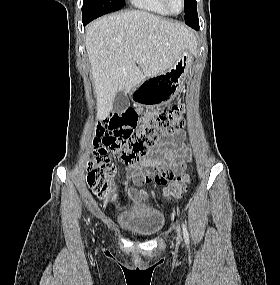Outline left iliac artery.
<instances>
[{"mask_svg": "<svg viewBox=\"0 0 280 285\" xmlns=\"http://www.w3.org/2000/svg\"><path fill=\"white\" fill-rule=\"evenodd\" d=\"M182 228H183V236H184L185 243L189 245V234H188L187 228L184 223L182 224Z\"/></svg>", "mask_w": 280, "mask_h": 285, "instance_id": "44dca946", "label": "left iliac artery"}]
</instances>
